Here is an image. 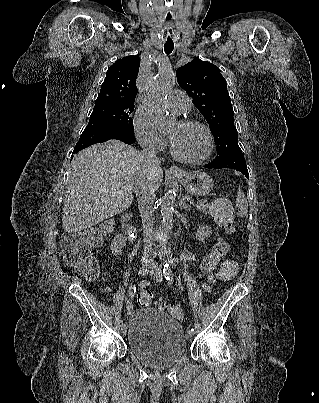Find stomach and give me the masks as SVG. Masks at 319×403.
I'll list each match as a JSON object with an SVG mask.
<instances>
[{
    "label": "stomach",
    "instance_id": "obj_1",
    "mask_svg": "<svg viewBox=\"0 0 319 403\" xmlns=\"http://www.w3.org/2000/svg\"><path fill=\"white\" fill-rule=\"evenodd\" d=\"M176 177L185 190L193 196H205L213 189V180L205 172H183Z\"/></svg>",
    "mask_w": 319,
    "mask_h": 403
}]
</instances>
